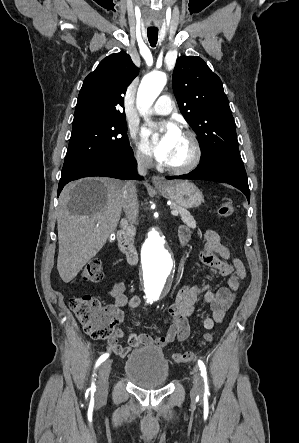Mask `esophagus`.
Segmentation results:
<instances>
[{
  "instance_id": "1",
  "label": "esophagus",
  "mask_w": 299,
  "mask_h": 443,
  "mask_svg": "<svg viewBox=\"0 0 299 443\" xmlns=\"http://www.w3.org/2000/svg\"><path fill=\"white\" fill-rule=\"evenodd\" d=\"M151 182H152V184L154 186H163V185H165L164 180L161 177L156 176V175L152 176Z\"/></svg>"
}]
</instances>
